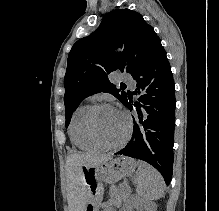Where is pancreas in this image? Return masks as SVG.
Masks as SVG:
<instances>
[{
    "mask_svg": "<svg viewBox=\"0 0 219 211\" xmlns=\"http://www.w3.org/2000/svg\"><path fill=\"white\" fill-rule=\"evenodd\" d=\"M120 188H111L110 189V196L113 197L112 199V207H117V203H120L121 200H126V192L125 187L126 186H119ZM99 207H104V202H99Z\"/></svg>",
    "mask_w": 219,
    "mask_h": 211,
    "instance_id": "pancreas-1",
    "label": "pancreas"
}]
</instances>
